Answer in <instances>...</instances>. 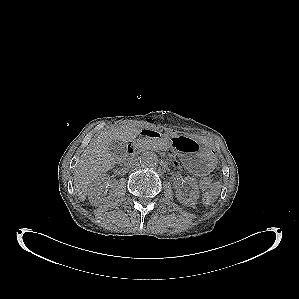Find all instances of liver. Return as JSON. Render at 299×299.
I'll list each match as a JSON object with an SVG mask.
<instances>
[{
    "label": "liver",
    "instance_id": "liver-1",
    "mask_svg": "<svg viewBox=\"0 0 299 299\" xmlns=\"http://www.w3.org/2000/svg\"><path fill=\"white\" fill-rule=\"evenodd\" d=\"M138 133L136 127L120 126L111 127L94 136L74 169V188L80 201H85L95 179L115 165L117 156L109 151L110 143L116 140L126 143Z\"/></svg>",
    "mask_w": 299,
    "mask_h": 299
}]
</instances>
